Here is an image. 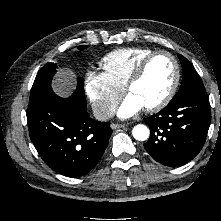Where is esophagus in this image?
Returning a JSON list of instances; mask_svg holds the SVG:
<instances>
[{
	"label": "esophagus",
	"instance_id": "esophagus-1",
	"mask_svg": "<svg viewBox=\"0 0 221 221\" xmlns=\"http://www.w3.org/2000/svg\"><path fill=\"white\" fill-rule=\"evenodd\" d=\"M110 127H111L112 129H119V128H124V127H126V125H125V124L112 123V124L110 125Z\"/></svg>",
	"mask_w": 221,
	"mask_h": 221
}]
</instances>
